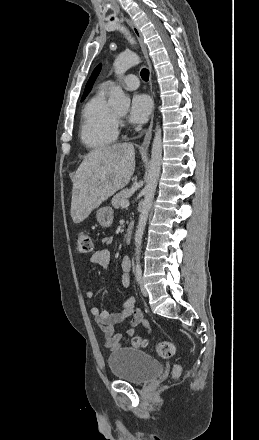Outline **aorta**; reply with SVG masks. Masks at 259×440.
<instances>
[{
    "instance_id": "obj_1",
    "label": "aorta",
    "mask_w": 259,
    "mask_h": 440,
    "mask_svg": "<svg viewBox=\"0 0 259 440\" xmlns=\"http://www.w3.org/2000/svg\"><path fill=\"white\" fill-rule=\"evenodd\" d=\"M140 58L135 53H122L114 61L113 67L117 76H122L128 69L138 65ZM109 105L117 110L127 111L130 107V98L120 86L114 87L109 96ZM162 162V135L159 125L156 126L155 137L151 151L150 170L146 179L145 196L142 203V209L139 216L138 226L135 232V251L136 259L139 260L141 243L149 211L152 207L157 182L160 175Z\"/></svg>"
}]
</instances>
